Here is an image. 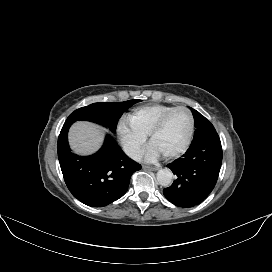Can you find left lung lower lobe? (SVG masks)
Wrapping results in <instances>:
<instances>
[{"instance_id": "left-lung-lower-lobe-1", "label": "left lung lower lobe", "mask_w": 272, "mask_h": 272, "mask_svg": "<svg viewBox=\"0 0 272 272\" xmlns=\"http://www.w3.org/2000/svg\"><path fill=\"white\" fill-rule=\"evenodd\" d=\"M221 163L222 147L217 133L191 144L181 158L168 165L176 180L163 190L164 196L179 207L198 205L213 190Z\"/></svg>"}]
</instances>
